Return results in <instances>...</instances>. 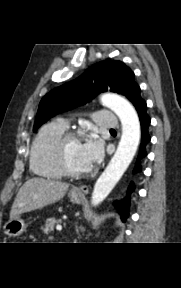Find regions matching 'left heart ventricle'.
I'll list each match as a JSON object with an SVG mask.
<instances>
[{"mask_svg": "<svg viewBox=\"0 0 181 288\" xmlns=\"http://www.w3.org/2000/svg\"><path fill=\"white\" fill-rule=\"evenodd\" d=\"M82 140L71 141L66 147V159L69 166L76 171H84L89 168L82 153Z\"/></svg>", "mask_w": 181, "mask_h": 288, "instance_id": "b2bd125f", "label": "left heart ventricle"}]
</instances>
